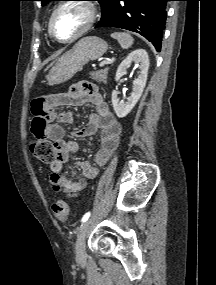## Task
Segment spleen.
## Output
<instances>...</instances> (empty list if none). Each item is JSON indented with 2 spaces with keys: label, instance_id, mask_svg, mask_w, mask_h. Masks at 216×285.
Wrapping results in <instances>:
<instances>
[{
  "label": "spleen",
  "instance_id": "spleen-1",
  "mask_svg": "<svg viewBox=\"0 0 216 285\" xmlns=\"http://www.w3.org/2000/svg\"><path fill=\"white\" fill-rule=\"evenodd\" d=\"M111 37L116 39L123 49H128L134 42L133 37L125 32H115Z\"/></svg>",
  "mask_w": 216,
  "mask_h": 285
}]
</instances>
